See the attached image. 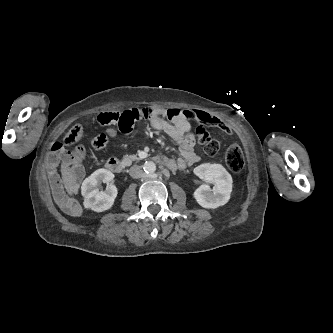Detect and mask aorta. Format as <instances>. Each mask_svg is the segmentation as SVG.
<instances>
[{"label":"aorta","mask_w":333,"mask_h":333,"mask_svg":"<svg viewBox=\"0 0 333 333\" xmlns=\"http://www.w3.org/2000/svg\"><path fill=\"white\" fill-rule=\"evenodd\" d=\"M143 169L146 173H154L156 171V164L152 161H147L144 163Z\"/></svg>","instance_id":"aorta-1"}]
</instances>
